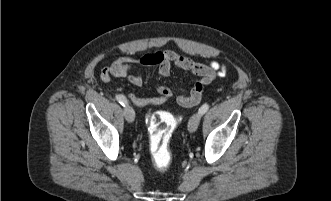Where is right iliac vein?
I'll list each match as a JSON object with an SVG mask.
<instances>
[{
	"instance_id": "obj_1",
	"label": "right iliac vein",
	"mask_w": 331,
	"mask_h": 201,
	"mask_svg": "<svg viewBox=\"0 0 331 201\" xmlns=\"http://www.w3.org/2000/svg\"><path fill=\"white\" fill-rule=\"evenodd\" d=\"M124 116L129 123H132L135 119V112L132 109V107L128 104L124 106Z\"/></svg>"
}]
</instances>
